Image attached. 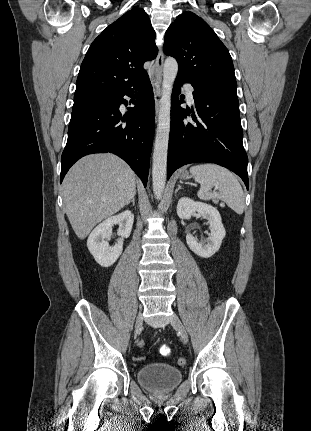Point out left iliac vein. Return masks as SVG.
<instances>
[{
    "label": "left iliac vein",
    "mask_w": 311,
    "mask_h": 431,
    "mask_svg": "<svg viewBox=\"0 0 311 431\" xmlns=\"http://www.w3.org/2000/svg\"><path fill=\"white\" fill-rule=\"evenodd\" d=\"M171 325L174 329H176L178 331V333L181 336V339L187 343L188 342V334L187 331L184 327V325L182 324L181 320L179 319V317L176 314H173L171 319H170Z\"/></svg>",
    "instance_id": "1"
}]
</instances>
